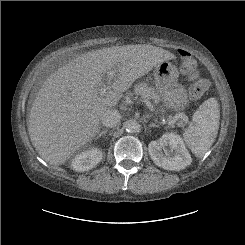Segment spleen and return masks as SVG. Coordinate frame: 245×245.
Segmentation results:
<instances>
[{
    "mask_svg": "<svg viewBox=\"0 0 245 245\" xmlns=\"http://www.w3.org/2000/svg\"><path fill=\"white\" fill-rule=\"evenodd\" d=\"M218 101L209 98L193 115L192 123L183 133V140L197 157H203L215 141L219 129Z\"/></svg>",
    "mask_w": 245,
    "mask_h": 245,
    "instance_id": "1",
    "label": "spleen"
}]
</instances>
